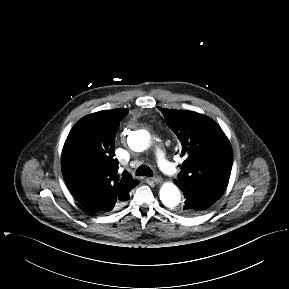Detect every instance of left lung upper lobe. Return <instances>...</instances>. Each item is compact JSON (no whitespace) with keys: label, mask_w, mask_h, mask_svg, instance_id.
I'll return each instance as SVG.
<instances>
[{"label":"left lung upper lobe","mask_w":289,"mask_h":289,"mask_svg":"<svg viewBox=\"0 0 289 289\" xmlns=\"http://www.w3.org/2000/svg\"><path fill=\"white\" fill-rule=\"evenodd\" d=\"M165 121L179 138L185 161L175 183L181 190L219 199L228 185L233 153L229 140L211 118L197 112L162 109Z\"/></svg>","instance_id":"5c2ea615"}]
</instances>
